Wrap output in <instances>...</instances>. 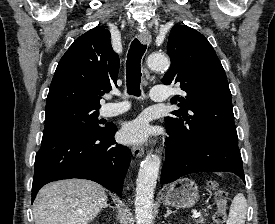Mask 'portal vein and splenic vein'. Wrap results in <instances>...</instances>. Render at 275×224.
<instances>
[{
    "label": "portal vein and splenic vein",
    "instance_id": "1",
    "mask_svg": "<svg viewBox=\"0 0 275 224\" xmlns=\"http://www.w3.org/2000/svg\"><path fill=\"white\" fill-rule=\"evenodd\" d=\"M201 216V213L200 212H194L193 215H192V218H197V217H200Z\"/></svg>",
    "mask_w": 275,
    "mask_h": 224
}]
</instances>
